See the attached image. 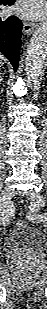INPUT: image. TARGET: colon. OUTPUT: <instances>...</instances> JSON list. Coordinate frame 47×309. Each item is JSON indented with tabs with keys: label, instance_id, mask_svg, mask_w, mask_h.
I'll return each instance as SVG.
<instances>
[{
	"label": "colon",
	"instance_id": "colon-1",
	"mask_svg": "<svg viewBox=\"0 0 47 309\" xmlns=\"http://www.w3.org/2000/svg\"><path fill=\"white\" fill-rule=\"evenodd\" d=\"M29 217H30V216H29ZM18 225H19V226L23 225V222H18Z\"/></svg>",
	"mask_w": 47,
	"mask_h": 309
}]
</instances>
